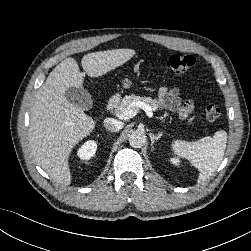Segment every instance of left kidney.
<instances>
[{
  "label": "left kidney",
  "mask_w": 251,
  "mask_h": 251,
  "mask_svg": "<svg viewBox=\"0 0 251 251\" xmlns=\"http://www.w3.org/2000/svg\"><path fill=\"white\" fill-rule=\"evenodd\" d=\"M171 163L174 164L175 166H178L180 164L179 158L173 157L170 159Z\"/></svg>",
  "instance_id": "5707ae66"
}]
</instances>
